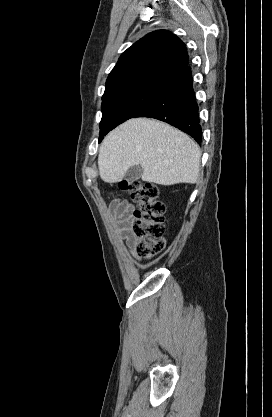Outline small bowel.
<instances>
[{"label":"small bowel","instance_id":"1","mask_svg":"<svg viewBox=\"0 0 272 417\" xmlns=\"http://www.w3.org/2000/svg\"><path fill=\"white\" fill-rule=\"evenodd\" d=\"M108 211L117 226L119 237L126 241L127 245L131 248V255L138 258L134 250L136 240L131 232L132 214L134 211L133 205L125 200L115 199L110 202Z\"/></svg>","mask_w":272,"mask_h":417}]
</instances>
